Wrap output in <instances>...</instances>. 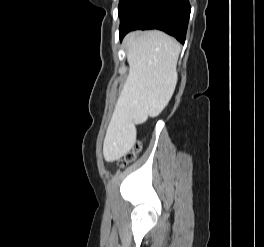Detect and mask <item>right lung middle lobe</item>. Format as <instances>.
Wrapping results in <instances>:
<instances>
[{"instance_id":"right-lung-middle-lobe-1","label":"right lung middle lobe","mask_w":264,"mask_h":247,"mask_svg":"<svg viewBox=\"0 0 264 247\" xmlns=\"http://www.w3.org/2000/svg\"><path fill=\"white\" fill-rule=\"evenodd\" d=\"M130 0H119V6H118V15L121 17L126 5L128 4Z\"/></svg>"}]
</instances>
